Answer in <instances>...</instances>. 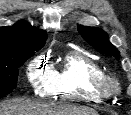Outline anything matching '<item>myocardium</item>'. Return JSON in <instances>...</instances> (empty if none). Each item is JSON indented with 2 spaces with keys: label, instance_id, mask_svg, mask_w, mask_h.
<instances>
[{
  "label": "myocardium",
  "instance_id": "obj_1",
  "mask_svg": "<svg viewBox=\"0 0 131 115\" xmlns=\"http://www.w3.org/2000/svg\"><path fill=\"white\" fill-rule=\"evenodd\" d=\"M97 86L110 94L117 93L120 89L118 81L105 73L99 76Z\"/></svg>",
  "mask_w": 131,
  "mask_h": 115
}]
</instances>
